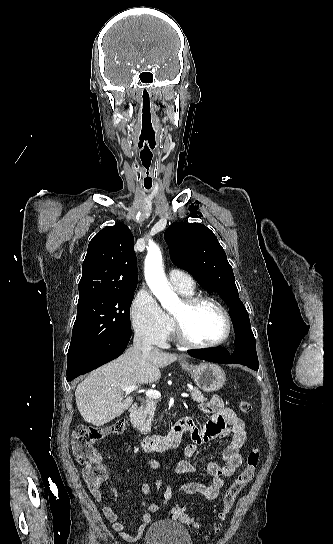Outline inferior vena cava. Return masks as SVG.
I'll use <instances>...</instances> for the list:
<instances>
[{"label":"inferior vena cava","instance_id":"inferior-vena-cava-1","mask_svg":"<svg viewBox=\"0 0 333 544\" xmlns=\"http://www.w3.org/2000/svg\"><path fill=\"white\" fill-rule=\"evenodd\" d=\"M133 348L142 351L143 355L149 354L154 349L149 335L141 331L135 332Z\"/></svg>","mask_w":333,"mask_h":544}]
</instances>
